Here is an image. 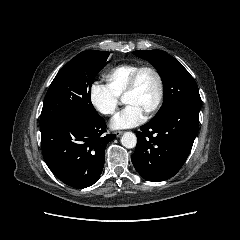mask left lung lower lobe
I'll list each match as a JSON object with an SVG mask.
<instances>
[{"label": "left lung lower lobe", "instance_id": "obj_1", "mask_svg": "<svg viewBox=\"0 0 240 240\" xmlns=\"http://www.w3.org/2000/svg\"><path fill=\"white\" fill-rule=\"evenodd\" d=\"M200 104H175L136 133L137 145L131 160L144 179L164 181L181 169L198 131Z\"/></svg>", "mask_w": 240, "mask_h": 240}]
</instances>
